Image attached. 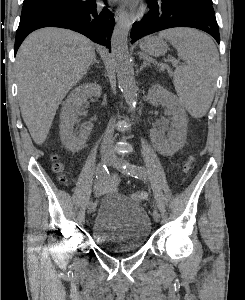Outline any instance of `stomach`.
I'll return each instance as SVG.
<instances>
[{
  "label": "stomach",
  "mask_w": 245,
  "mask_h": 300,
  "mask_svg": "<svg viewBox=\"0 0 245 300\" xmlns=\"http://www.w3.org/2000/svg\"><path fill=\"white\" fill-rule=\"evenodd\" d=\"M142 51L149 55L161 56L167 52L168 46L160 37H146L140 43Z\"/></svg>",
  "instance_id": "1"
}]
</instances>
